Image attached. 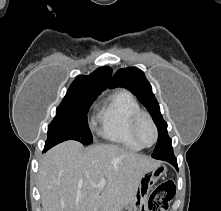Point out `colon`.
<instances>
[{"instance_id": "obj_1", "label": "colon", "mask_w": 221, "mask_h": 211, "mask_svg": "<svg viewBox=\"0 0 221 211\" xmlns=\"http://www.w3.org/2000/svg\"><path fill=\"white\" fill-rule=\"evenodd\" d=\"M175 195V185L172 181L160 183L151 193L147 202V211H167Z\"/></svg>"}]
</instances>
